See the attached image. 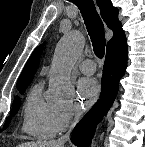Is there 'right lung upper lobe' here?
I'll return each mask as SVG.
<instances>
[{
	"mask_svg": "<svg viewBox=\"0 0 145 147\" xmlns=\"http://www.w3.org/2000/svg\"><path fill=\"white\" fill-rule=\"evenodd\" d=\"M97 5L100 8L101 16L107 26L113 30V37L108 42L107 47L117 38L124 34L121 23L118 20V9L112 6L110 0H96ZM43 49V45H40L35 49V51L30 56L27 61L19 79L17 82V89L27 87L33 79V75L36 73V70L39 65V58Z\"/></svg>",
	"mask_w": 145,
	"mask_h": 147,
	"instance_id": "1",
	"label": "right lung upper lobe"
}]
</instances>
